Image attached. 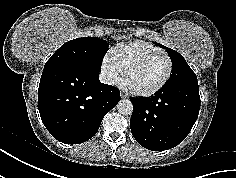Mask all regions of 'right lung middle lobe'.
Listing matches in <instances>:
<instances>
[{"label": "right lung middle lobe", "instance_id": "obj_1", "mask_svg": "<svg viewBox=\"0 0 236 178\" xmlns=\"http://www.w3.org/2000/svg\"><path fill=\"white\" fill-rule=\"evenodd\" d=\"M108 46L105 40L96 37L77 38L64 43L45 66L61 63L82 64L100 72Z\"/></svg>", "mask_w": 236, "mask_h": 178}]
</instances>
